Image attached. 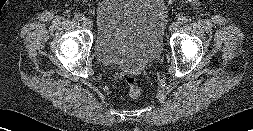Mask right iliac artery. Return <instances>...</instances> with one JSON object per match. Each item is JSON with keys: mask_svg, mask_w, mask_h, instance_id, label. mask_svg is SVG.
<instances>
[{"mask_svg": "<svg viewBox=\"0 0 253 131\" xmlns=\"http://www.w3.org/2000/svg\"><path fill=\"white\" fill-rule=\"evenodd\" d=\"M74 18H75L76 20H79V21L85 20V16L82 15V14H80V13H76V14L74 15Z\"/></svg>", "mask_w": 253, "mask_h": 131, "instance_id": "1", "label": "right iliac artery"}]
</instances>
